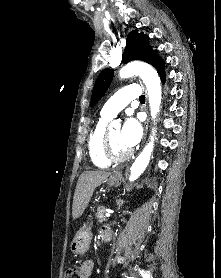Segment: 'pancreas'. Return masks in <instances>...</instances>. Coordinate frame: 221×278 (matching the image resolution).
Listing matches in <instances>:
<instances>
[{
    "label": "pancreas",
    "instance_id": "1",
    "mask_svg": "<svg viewBox=\"0 0 221 278\" xmlns=\"http://www.w3.org/2000/svg\"><path fill=\"white\" fill-rule=\"evenodd\" d=\"M105 207H98L95 217L98 219L99 222L107 221V218L105 216Z\"/></svg>",
    "mask_w": 221,
    "mask_h": 278
}]
</instances>
